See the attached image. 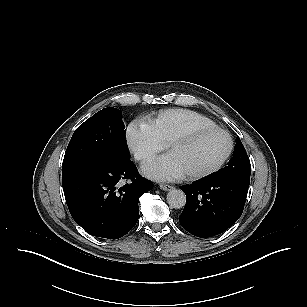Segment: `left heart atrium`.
I'll return each instance as SVG.
<instances>
[{"mask_svg": "<svg viewBox=\"0 0 307 307\" xmlns=\"http://www.w3.org/2000/svg\"><path fill=\"white\" fill-rule=\"evenodd\" d=\"M144 174L158 181H174L184 177L173 159L166 153L150 166L143 168Z\"/></svg>", "mask_w": 307, "mask_h": 307, "instance_id": "1", "label": "left heart atrium"}]
</instances>
